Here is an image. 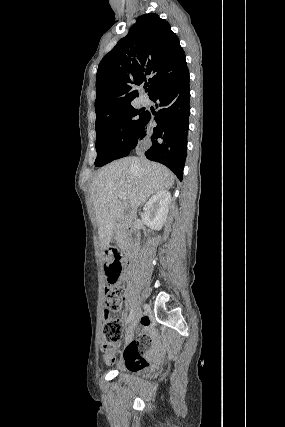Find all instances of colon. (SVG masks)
Returning a JSON list of instances; mask_svg holds the SVG:
<instances>
[{
	"label": "colon",
	"instance_id": "5ec220e1",
	"mask_svg": "<svg viewBox=\"0 0 285 427\" xmlns=\"http://www.w3.org/2000/svg\"><path fill=\"white\" fill-rule=\"evenodd\" d=\"M123 270L124 264L122 258L116 253H106L104 271L110 287L105 289L104 295L106 310L103 321L102 350L108 362L114 361L115 354L120 349L119 342L125 328L123 321L113 316L121 306L122 291L116 285Z\"/></svg>",
	"mask_w": 285,
	"mask_h": 427
}]
</instances>
